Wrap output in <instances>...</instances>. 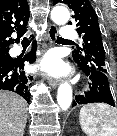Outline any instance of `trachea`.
Here are the masks:
<instances>
[{
    "mask_svg": "<svg viewBox=\"0 0 117 136\" xmlns=\"http://www.w3.org/2000/svg\"><path fill=\"white\" fill-rule=\"evenodd\" d=\"M23 40L28 41L29 39L25 37ZM57 40L58 41H69V40H66V39H64L62 37H58V36H57Z\"/></svg>",
    "mask_w": 117,
    "mask_h": 136,
    "instance_id": "1",
    "label": "trachea"
}]
</instances>
